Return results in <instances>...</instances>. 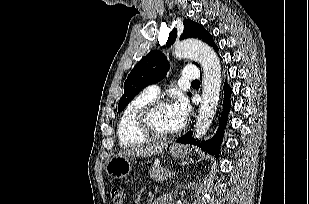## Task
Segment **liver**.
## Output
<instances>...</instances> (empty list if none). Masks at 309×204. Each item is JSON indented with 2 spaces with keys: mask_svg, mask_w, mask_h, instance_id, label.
<instances>
[{
  "mask_svg": "<svg viewBox=\"0 0 309 204\" xmlns=\"http://www.w3.org/2000/svg\"><path fill=\"white\" fill-rule=\"evenodd\" d=\"M167 147H168V142L157 143L153 145L150 144L146 146L127 149L123 151L121 155L148 157V156L162 153Z\"/></svg>",
  "mask_w": 309,
  "mask_h": 204,
  "instance_id": "6515ba94",
  "label": "liver"
}]
</instances>
